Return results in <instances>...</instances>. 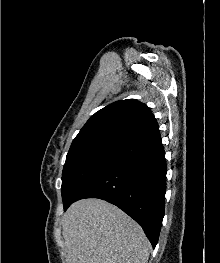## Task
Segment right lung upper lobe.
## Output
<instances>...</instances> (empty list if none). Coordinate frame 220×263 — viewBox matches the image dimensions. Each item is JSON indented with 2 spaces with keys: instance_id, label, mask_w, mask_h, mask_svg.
Masks as SVG:
<instances>
[{
  "instance_id": "1",
  "label": "right lung upper lobe",
  "mask_w": 220,
  "mask_h": 263,
  "mask_svg": "<svg viewBox=\"0 0 220 263\" xmlns=\"http://www.w3.org/2000/svg\"><path fill=\"white\" fill-rule=\"evenodd\" d=\"M160 134L147 105L126 99L114 102L91 116L74 138L70 151L96 148L123 150Z\"/></svg>"
}]
</instances>
